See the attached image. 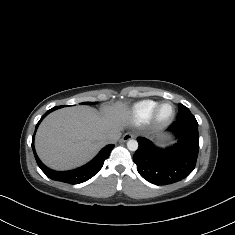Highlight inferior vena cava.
Returning <instances> with one entry per match:
<instances>
[{
  "label": "inferior vena cava",
  "mask_w": 235,
  "mask_h": 235,
  "mask_svg": "<svg viewBox=\"0 0 235 235\" xmlns=\"http://www.w3.org/2000/svg\"><path fill=\"white\" fill-rule=\"evenodd\" d=\"M120 136V132H110L104 136L105 143H116Z\"/></svg>",
  "instance_id": "inferior-vena-cava-1"
}]
</instances>
